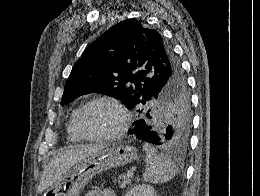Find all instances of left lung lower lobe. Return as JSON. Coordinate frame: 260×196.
Returning a JSON list of instances; mask_svg holds the SVG:
<instances>
[{"instance_id":"1","label":"left lung lower lobe","mask_w":260,"mask_h":196,"mask_svg":"<svg viewBox=\"0 0 260 196\" xmlns=\"http://www.w3.org/2000/svg\"><path fill=\"white\" fill-rule=\"evenodd\" d=\"M133 125H134V128L129 130L128 134H130L140 140H143V141L155 144V145L160 144L159 134L157 132L153 131L151 129V126L145 120L140 119V120L134 122Z\"/></svg>"}]
</instances>
